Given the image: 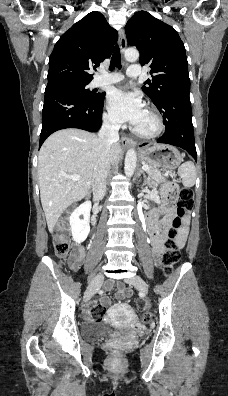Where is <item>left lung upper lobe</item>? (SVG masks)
I'll return each instance as SVG.
<instances>
[{
	"label": "left lung upper lobe",
	"instance_id": "obj_1",
	"mask_svg": "<svg viewBox=\"0 0 228 396\" xmlns=\"http://www.w3.org/2000/svg\"><path fill=\"white\" fill-rule=\"evenodd\" d=\"M125 32L129 44L140 52V64L151 68L152 79L142 89L157 107L170 95L190 92L185 47L173 27L139 11L130 18ZM175 105L182 107L180 100Z\"/></svg>",
	"mask_w": 228,
	"mask_h": 396
}]
</instances>
